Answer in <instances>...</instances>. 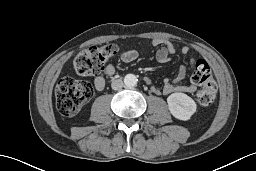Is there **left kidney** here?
Returning a JSON list of instances; mask_svg holds the SVG:
<instances>
[{
	"instance_id": "left-kidney-1",
	"label": "left kidney",
	"mask_w": 256,
	"mask_h": 171,
	"mask_svg": "<svg viewBox=\"0 0 256 171\" xmlns=\"http://www.w3.org/2000/svg\"><path fill=\"white\" fill-rule=\"evenodd\" d=\"M170 113L177 119L187 121L196 112L195 101L184 93H173L167 98Z\"/></svg>"
}]
</instances>
